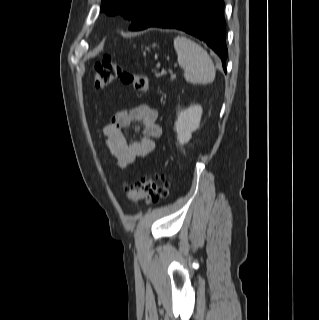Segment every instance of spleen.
I'll return each instance as SVG.
<instances>
[{"label":"spleen","instance_id":"spleen-1","mask_svg":"<svg viewBox=\"0 0 319 320\" xmlns=\"http://www.w3.org/2000/svg\"><path fill=\"white\" fill-rule=\"evenodd\" d=\"M178 64L184 69L189 83H211L215 79V67L207 52L194 41L183 36L174 39Z\"/></svg>","mask_w":319,"mask_h":320}]
</instances>
